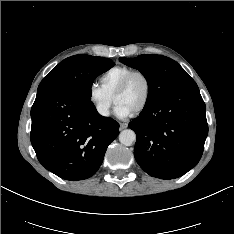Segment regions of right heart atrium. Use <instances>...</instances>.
Listing matches in <instances>:
<instances>
[{"mask_svg":"<svg viewBox=\"0 0 234 234\" xmlns=\"http://www.w3.org/2000/svg\"><path fill=\"white\" fill-rule=\"evenodd\" d=\"M87 98L98 115L103 118L109 117L111 113L112 99L99 85L91 84L88 87Z\"/></svg>","mask_w":234,"mask_h":234,"instance_id":"obj_1","label":"right heart atrium"}]
</instances>
